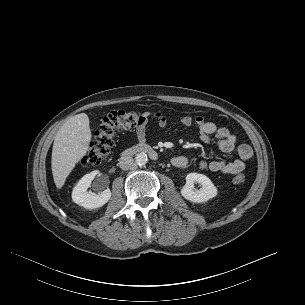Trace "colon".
Returning a JSON list of instances; mask_svg holds the SVG:
<instances>
[{
	"label": "colon",
	"instance_id": "5ec220e1",
	"mask_svg": "<svg viewBox=\"0 0 305 305\" xmlns=\"http://www.w3.org/2000/svg\"><path fill=\"white\" fill-rule=\"evenodd\" d=\"M148 113L143 111L117 110L108 113L95 132L94 141L82 159L83 166L100 164L108 157L114 146L118 132L145 124ZM235 184L245 182V176L238 174L233 178Z\"/></svg>",
	"mask_w": 305,
	"mask_h": 305
}]
</instances>
